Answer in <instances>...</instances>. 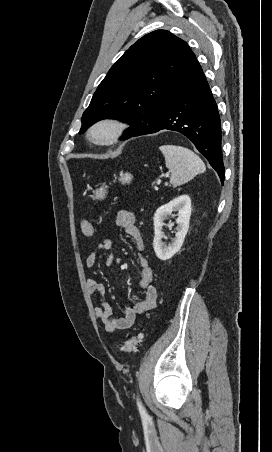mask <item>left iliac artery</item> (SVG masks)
Segmentation results:
<instances>
[{"mask_svg":"<svg viewBox=\"0 0 272 452\" xmlns=\"http://www.w3.org/2000/svg\"><path fill=\"white\" fill-rule=\"evenodd\" d=\"M137 406L142 417H146L147 413L139 398H137Z\"/></svg>","mask_w":272,"mask_h":452,"instance_id":"left-iliac-artery-1","label":"left iliac artery"}]
</instances>
